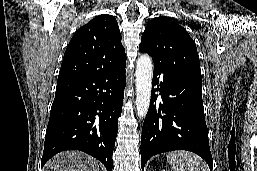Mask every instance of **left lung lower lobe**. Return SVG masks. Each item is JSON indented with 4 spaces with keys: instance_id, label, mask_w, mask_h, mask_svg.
Masks as SVG:
<instances>
[{
    "instance_id": "1",
    "label": "left lung lower lobe",
    "mask_w": 257,
    "mask_h": 171,
    "mask_svg": "<svg viewBox=\"0 0 257 171\" xmlns=\"http://www.w3.org/2000/svg\"><path fill=\"white\" fill-rule=\"evenodd\" d=\"M163 80L158 84V75ZM152 98L141 137V167L153 155L188 150L201 156L212 170L202 101V84L170 65L154 63ZM157 85V88L154 86ZM161 92L162 103L156 105Z\"/></svg>"
}]
</instances>
